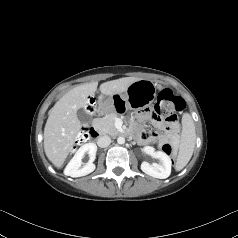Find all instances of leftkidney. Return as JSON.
Returning a JSON list of instances; mask_svg holds the SVG:
<instances>
[{
  "instance_id": "obj_1",
  "label": "left kidney",
  "mask_w": 238,
  "mask_h": 238,
  "mask_svg": "<svg viewBox=\"0 0 238 238\" xmlns=\"http://www.w3.org/2000/svg\"><path fill=\"white\" fill-rule=\"evenodd\" d=\"M142 151L153 158L159 160V163H153L152 165L148 162H142L141 170L155 178L165 179L168 178L171 173V164L172 161L170 157L162 152V151H155V149L151 146H146L142 149Z\"/></svg>"
}]
</instances>
